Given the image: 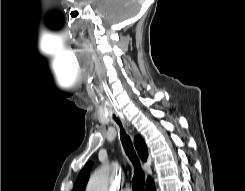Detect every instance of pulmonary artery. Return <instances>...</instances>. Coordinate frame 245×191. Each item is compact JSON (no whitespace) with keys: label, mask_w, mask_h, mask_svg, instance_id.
I'll return each instance as SVG.
<instances>
[{"label":"pulmonary artery","mask_w":245,"mask_h":191,"mask_svg":"<svg viewBox=\"0 0 245 191\" xmlns=\"http://www.w3.org/2000/svg\"><path fill=\"white\" fill-rule=\"evenodd\" d=\"M123 191H131L130 188H125Z\"/></svg>","instance_id":"pulmonary-artery-1"}]
</instances>
